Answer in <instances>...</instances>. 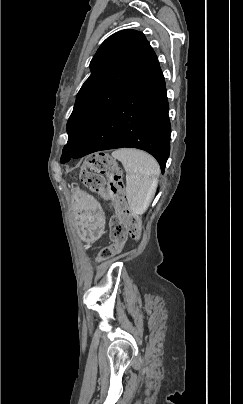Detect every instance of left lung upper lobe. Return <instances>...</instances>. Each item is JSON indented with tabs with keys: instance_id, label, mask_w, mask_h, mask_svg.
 Wrapping results in <instances>:
<instances>
[{
	"instance_id": "1",
	"label": "left lung upper lobe",
	"mask_w": 243,
	"mask_h": 404,
	"mask_svg": "<svg viewBox=\"0 0 243 404\" xmlns=\"http://www.w3.org/2000/svg\"><path fill=\"white\" fill-rule=\"evenodd\" d=\"M90 69L67 122L69 139L61 163L77 152L105 111L158 72L160 66L143 33L122 30L101 44Z\"/></svg>"
}]
</instances>
